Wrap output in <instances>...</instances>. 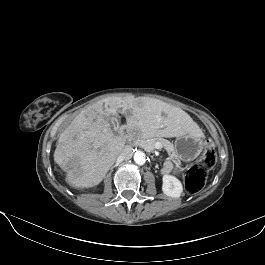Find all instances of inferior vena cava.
<instances>
[{
  "mask_svg": "<svg viewBox=\"0 0 265 265\" xmlns=\"http://www.w3.org/2000/svg\"><path fill=\"white\" fill-rule=\"evenodd\" d=\"M132 155H133V151H132L131 147L126 146L123 148L119 158L123 159V160H128V159L132 158Z\"/></svg>",
  "mask_w": 265,
  "mask_h": 265,
  "instance_id": "602c4592",
  "label": "inferior vena cava"
}]
</instances>
